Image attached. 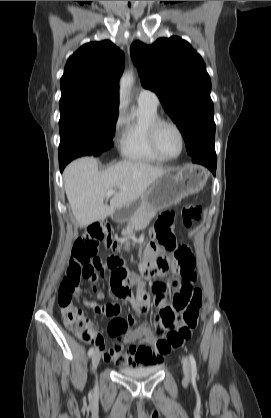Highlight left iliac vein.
<instances>
[{
    "mask_svg": "<svg viewBox=\"0 0 271 418\" xmlns=\"http://www.w3.org/2000/svg\"><path fill=\"white\" fill-rule=\"evenodd\" d=\"M182 363H183L184 377H185V379H189V377H190V363H189L187 358H183Z\"/></svg>",
    "mask_w": 271,
    "mask_h": 418,
    "instance_id": "1",
    "label": "left iliac vein"
}]
</instances>
